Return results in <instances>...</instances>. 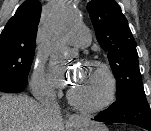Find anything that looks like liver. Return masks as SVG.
Here are the masks:
<instances>
[{
	"mask_svg": "<svg viewBox=\"0 0 151 131\" xmlns=\"http://www.w3.org/2000/svg\"><path fill=\"white\" fill-rule=\"evenodd\" d=\"M43 105L26 95L0 97V131H63Z\"/></svg>",
	"mask_w": 151,
	"mask_h": 131,
	"instance_id": "obj_1",
	"label": "liver"
}]
</instances>
